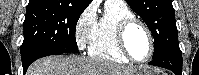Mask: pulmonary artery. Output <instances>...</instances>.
Returning <instances> with one entry per match:
<instances>
[{
    "instance_id": "obj_1",
    "label": "pulmonary artery",
    "mask_w": 199,
    "mask_h": 75,
    "mask_svg": "<svg viewBox=\"0 0 199 75\" xmlns=\"http://www.w3.org/2000/svg\"><path fill=\"white\" fill-rule=\"evenodd\" d=\"M106 6H126V4L125 1L108 0Z\"/></svg>"
}]
</instances>
